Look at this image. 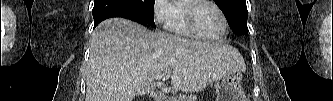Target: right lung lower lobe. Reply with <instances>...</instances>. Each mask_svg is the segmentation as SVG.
<instances>
[{"instance_id": "right-lung-lower-lobe-1", "label": "right lung lower lobe", "mask_w": 333, "mask_h": 101, "mask_svg": "<svg viewBox=\"0 0 333 101\" xmlns=\"http://www.w3.org/2000/svg\"><path fill=\"white\" fill-rule=\"evenodd\" d=\"M92 14L94 28L101 21L111 17H122L144 24L140 14L129 0H94Z\"/></svg>"}]
</instances>
